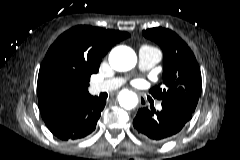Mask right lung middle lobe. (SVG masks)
Here are the masks:
<instances>
[{"mask_svg":"<svg viewBox=\"0 0 240 160\" xmlns=\"http://www.w3.org/2000/svg\"><path fill=\"white\" fill-rule=\"evenodd\" d=\"M90 76L91 75H87L82 79L72 80L71 82L68 83L69 87L72 90L74 99L88 93L87 88L89 85Z\"/></svg>","mask_w":240,"mask_h":160,"instance_id":"1","label":"right lung middle lobe"}]
</instances>
